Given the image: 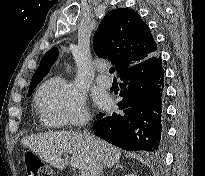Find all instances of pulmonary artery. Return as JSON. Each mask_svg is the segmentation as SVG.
<instances>
[{
    "label": "pulmonary artery",
    "mask_w": 205,
    "mask_h": 176,
    "mask_svg": "<svg viewBox=\"0 0 205 176\" xmlns=\"http://www.w3.org/2000/svg\"><path fill=\"white\" fill-rule=\"evenodd\" d=\"M99 70L101 72H104L105 68L101 67L99 68ZM96 82L100 85V86H103V87H110L112 85V80L110 77L108 76H105L103 74H100L96 77Z\"/></svg>",
    "instance_id": "pulmonary-artery-1"
}]
</instances>
